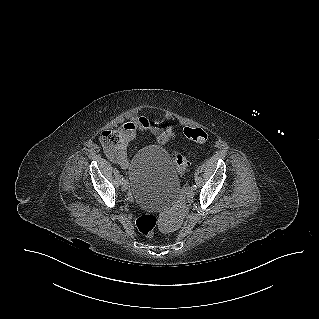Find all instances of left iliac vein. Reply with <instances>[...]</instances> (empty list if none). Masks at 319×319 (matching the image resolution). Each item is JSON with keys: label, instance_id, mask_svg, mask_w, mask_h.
Wrapping results in <instances>:
<instances>
[{"label": "left iliac vein", "instance_id": "left-iliac-vein-1", "mask_svg": "<svg viewBox=\"0 0 319 319\" xmlns=\"http://www.w3.org/2000/svg\"><path fill=\"white\" fill-rule=\"evenodd\" d=\"M195 194V190L192 187L187 188V195L188 197L192 198Z\"/></svg>", "mask_w": 319, "mask_h": 319}]
</instances>
